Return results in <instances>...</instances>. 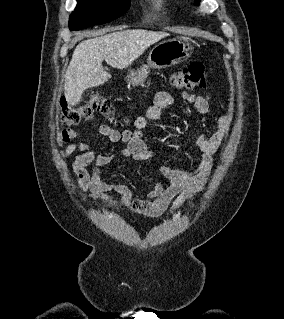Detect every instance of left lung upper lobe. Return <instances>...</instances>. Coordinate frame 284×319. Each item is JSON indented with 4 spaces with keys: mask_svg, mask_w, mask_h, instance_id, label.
<instances>
[{
    "mask_svg": "<svg viewBox=\"0 0 284 319\" xmlns=\"http://www.w3.org/2000/svg\"><path fill=\"white\" fill-rule=\"evenodd\" d=\"M200 0H195V4H198Z\"/></svg>",
    "mask_w": 284,
    "mask_h": 319,
    "instance_id": "1",
    "label": "left lung upper lobe"
}]
</instances>
